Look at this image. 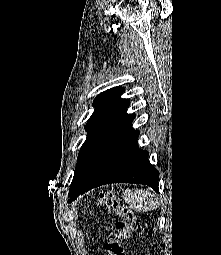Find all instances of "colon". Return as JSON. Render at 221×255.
<instances>
[{
    "label": "colon",
    "mask_w": 221,
    "mask_h": 255,
    "mask_svg": "<svg viewBox=\"0 0 221 255\" xmlns=\"http://www.w3.org/2000/svg\"><path fill=\"white\" fill-rule=\"evenodd\" d=\"M97 204L105 206L109 212L116 215L120 220L116 224L115 230L108 235L105 250L108 255H127L124 243L132 235L135 226V215L128 205L112 193H100Z\"/></svg>",
    "instance_id": "obj_1"
}]
</instances>
